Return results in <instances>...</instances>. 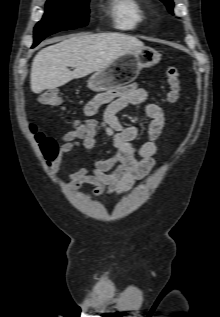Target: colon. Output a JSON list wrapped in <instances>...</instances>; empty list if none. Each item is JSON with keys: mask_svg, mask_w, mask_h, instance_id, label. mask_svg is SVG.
<instances>
[{"mask_svg": "<svg viewBox=\"0 0 220 317\" xmlns=\"http://www.w3.org/2000/svg\"><path fill=\"white\" fill-rule=\"evenodd\" d=\"M166 81L168 84L166 100L175 102L180 93V74L177 68L170 67L167 69ZM40 102L47 107H58L62 104L63 99L57 91L49 90L41 95ZM30 129L43 159L48 163L52 162L58 155V142L52 136L38 131L33 124H31Z\"/></svg>", "mask_w": 220, "mask_h": 317, "instance_id": "colon-1", "label": "colon"}]
</instances>
